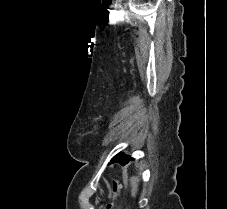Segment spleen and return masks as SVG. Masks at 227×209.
I'll use <instances>...</instances> for the list:
<instances>
[{
	"label": "spleen",
	"instance_id": "3e777b00",
	"mask_svg": "<svg viewBox=\"0 0 227 209\" xmlns=\"http://www.w3.org/2000/svg\"><path fill=\"white\" fill-rule=\"evenodd\" d=\"M139 181H140V179H138V177H131V179H130L132 197H136Z\"/></svg>",
	"mask_w": 227,
	"mask_h": 209
}]
</instances>
